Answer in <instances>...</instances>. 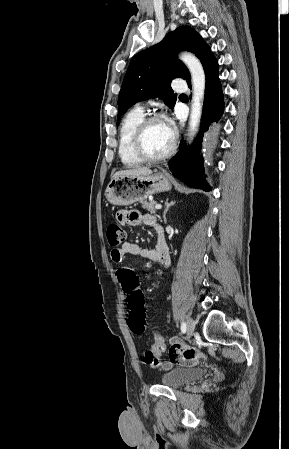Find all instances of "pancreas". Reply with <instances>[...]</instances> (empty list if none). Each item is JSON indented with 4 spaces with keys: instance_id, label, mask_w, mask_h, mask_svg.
<instances>
[{
    "instance_id": "pancreas-1",
    "label": "pancreas",
    "mask_w": 289,
    "mask_h": 449,
    "mask_svg": "<svg viewBox=\"0 0 289 449\" xmlns=\"http://www.w3.org/2000/svg\"><path fill=\"white\" fill-rule=\"evenodd\" d=\"M157 204L156 201L152 200V201H141V205L144 209L150 211L151 213H155L156 208L155 205Z\"/></svg>"
}]
</instances>
